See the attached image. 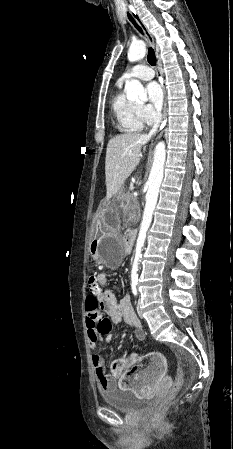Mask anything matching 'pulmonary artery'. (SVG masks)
<instances>
[{"label":"pulmonary artery","instance_id":"1","mask_svg":"<svg viewBox=\"0 0 233 449\" xmlns=\"http://www.w3.org/2000/svg\"><path fill=\"white\" fill-rule=\"evenodd\" d=\"M155 73L153 69L148 65H136L132 69L125 72L118 80L119 83H125L132 78H136L143 81L151 80Z\"/></svg>","mask_w":233,"mask_h":449}]
</instances>
